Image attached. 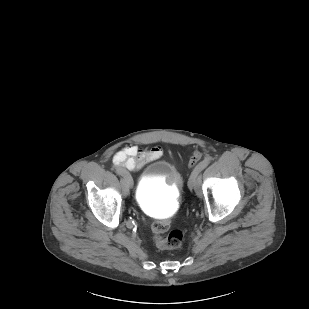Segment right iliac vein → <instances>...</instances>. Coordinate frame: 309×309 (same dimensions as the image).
<instances>
[{"instance_id": "right-iliac-vein-1", "label": "right iliac vein", "mask_w": 309, "mask_h": 309, "mask_svg": "<svg viewBox=\"0 0 309 309\" xmlns=\"http://www.w3.org/2000/svg\"><path fill=\"white\" fill-rule=\"evenodd\" d=\"M121 181H122V184H123V186H124L125 191L128 192L129 189L132 188V185H133L132 179H131V178H130V179H126V178L123 176ZM131 183H132V185H131Z\"/></svg>"}]
</instances>
